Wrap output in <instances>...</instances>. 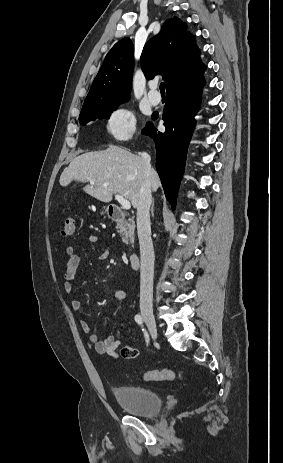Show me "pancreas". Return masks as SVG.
Instances as JSON below:
<instances>
[{"label": "pancreas", "instance_id": "obj_1", "mask_svg": "<svg viewBox=\"0 0 283 463\" xmlns=\"http://www.w3.org/2000/svg\"><path fill=\"white\" fill-rule=\"evenodd\" d=\"M117 232L120 234L122 237V241L125 244H128L130 241L131 243L134 242V230H135V224L131 220L129 222L124 221L116 226Z\"/></svg>", "mask_w": 283, "mask_h": 463}]
</instances>
